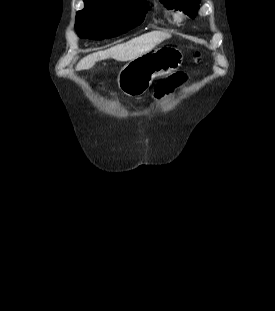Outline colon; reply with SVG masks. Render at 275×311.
I'll return each instance as SVG.
<instances>
[{
    "mask_svg": "<svg viewBox=\"0 0 275 311\" xmlns=\"http://www.w3.org/2000/svg\"><path fill=\"white\" fill-rule=\"evenodd\" d=\"M196 56L199 57L200 53L196 52ZM185 80V76L183 74H177L170 77L167 81L160 82L157 86V94H164L168 90L173 89L178 86Z\"/></svg>",
    "mask_w": 275,
    "mask_h": 311,
    "instance_id": "1",
    "label": "colon"
}]
</instances>
